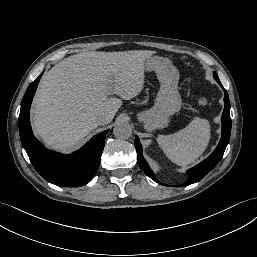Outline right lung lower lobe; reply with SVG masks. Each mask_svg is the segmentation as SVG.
Wrapping results in <instances>:
<instances>
[{
	"label": "right lung lower lobe",
	"mask_w": 257,
	"mask_h": 257,
	"mask_svg": "<svg viewBox=\"0 0 257 257\" xmlns=\"http://www.w3.org/2000/svg\"><path fill=\"white\" fill-rule=\"evenodd\" d=\"M43 73L32 82L22 99L19 115V134L22 145L36 171L48 182L57 186L78 187L93 179L104 148L106 130L94 136L80 150L62 155L47 150L33 136L29 111L33 95Z\"/></svg>",
	"instance_id": "98d812e1"
}]
</instances>
